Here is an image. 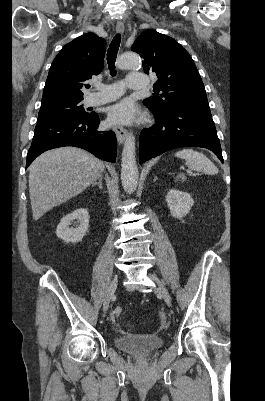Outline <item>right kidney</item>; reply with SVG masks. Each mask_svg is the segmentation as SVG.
I'll list each match as a JSON object with an SVG mask.
<instances>
[{
	"instance_id": "ca27d5eb",
	"label": "right kidney",
	"mask_w": 265,
	"mask_h": 401,
	"mask_svg": "<svg viewBox=\"0 0 265 401\" xmlns=\"http://www.w3.org/2000/svg\"><path fill=\"white\" fill-rule=\"evenodd\" d=\"M79 221L77 229H70L72 221ZM89 227V215L87 209H76L72 211L70 215H66L61 219L56 229V235L59 239H62L64 243H79L82 241L84 235H86Z\"/></svg>"
}]
</instances>
